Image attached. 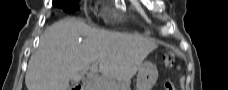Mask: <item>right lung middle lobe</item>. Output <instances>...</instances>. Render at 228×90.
Masks as SVG:
<instances>
[{
    "instance_id": "1",
    "label": "right lung middle lobe",
    "mask_w": 228,
    "mask_h": 90,
    "mask_svg": "<svg viewBox=\"0 0 228 90\" xmlns=\"http://www.w3.org/2000/svg\"><path fill=\"white\" fill-rule=\"evenodd\" d=\"M79 0H54L53 5L59 8H63L66 12H72L78 9L76 5Z\"/></svg>"
}]
</instances>
